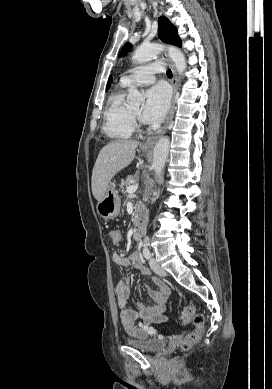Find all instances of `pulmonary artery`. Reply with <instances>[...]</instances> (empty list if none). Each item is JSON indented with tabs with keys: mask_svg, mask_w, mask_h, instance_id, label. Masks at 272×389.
Listing matches in <instances>:
<instances>
[{
	"mask_svg": "<svg viewBox=\"0 0 272 389\" xmlns=\"http://www.w3.org/2000/svg\"><path fill=\"white\" fill-rule=\"evenodd\" d=\"M164 72L163 62H154L140 65L129 70L121 78V84L131 85H148L155 81V74Z\"/></svg>",
	"mask_w": 272,
	"mask_h": 389,
	"instance_id": "1",
	"label": "pulmonary artery"
}]
</instances>
